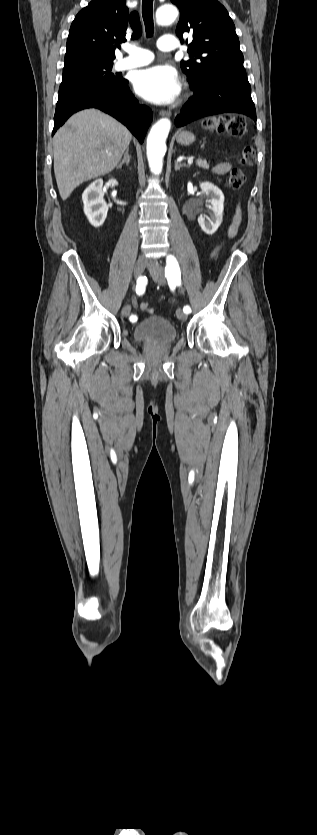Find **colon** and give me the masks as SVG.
I'll use <instances>...</instances> for the list:
<instances>
[{
  "mask_svg": "<svg viewBox=\"0 0 317 835\" xmlns=\"http://www.w3.org/2000/svg\"><path fill=\"white\" fill-rule=\"evenodd\" d=\"M204 127L213 133H226L234 138H241L246 134V122L240 116H220L211 117L204 120ZM256 153L253 147L247 146L243 149L240 162L243 166L250 167L254 164ZM245 182V175L239 168H234L229 177V185L233 189L240 188ZM140 309L146 313L153 314L152 307L143 302L140 304Z\"/></svg>",
  "mask_w": 317,
  "mask_h": 835,
  "instance_id": "5ec220e1",
  "label": "colon"
}]
</instances>
